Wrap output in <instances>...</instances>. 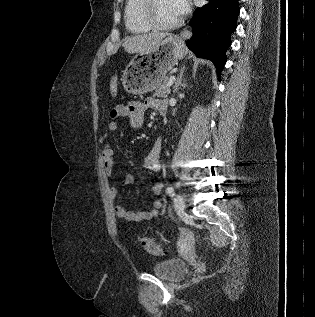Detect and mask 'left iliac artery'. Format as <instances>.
Returning a JSON list of instances; mask_svg holds the SVG:
<instances>
[{
	"label": "left iliac artery",
	"instance_id": "left-iliac-artery-1",
	"mask_svg": "<svg viewBox=\"0 0 315 317\" xmlns=\"http://www.w3.org/2000/svg\"><path fill=\"white\" fill-rule=\"evenodd\" d=\"M166 192H167L171 197H173V196L175 195V194H174V189H173V187H167Z\"/></svg>",
	"mask_w": 315,
	"mask_h": 317
}]
</instances>
